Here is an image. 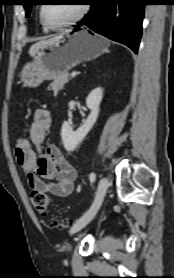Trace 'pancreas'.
Instances as JSON below:
<instances>
[{
  "label": "pancreas",
  "mask_w": 174,
  "mask_h": 278,
  "mask_svg": "<svg viewBox=\"0 0 174 278\" xmlns=\"http://www.w3.org/2000/svg\"><path fill=\"white\" fill-rule=\"evenodd\" d=\"M69 80H70V78H69V74L68 73L62 74L58 78L54 79V81L50 84V88L54 92H58L61 89H63L64 85L66 83H68Z\"/></svg>",
  "instance_id": "obj_1"
}]
</instances>
